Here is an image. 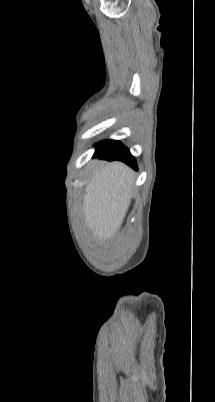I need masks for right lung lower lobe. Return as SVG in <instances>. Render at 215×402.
Returning a JSON list of instances; mask_svg holds the SVG:
<instances>
[{"mask_svg": "<svg viewBox=\"0 0 215 402\" xmlns=\"http://www.w3.org/2000/svg\"><path fill=\"white\" fill-rule=\"evenodd\" d=\"M95 155L105 160H121L129 166L137 168L136 160L120 142L114 145H99Z\"/></svg>", "mask_w": 215, "mask_h": 402, "instance_id": "right-lung-lower-lobe-1", "label": "right lung lower lobe"}]
</instances>
